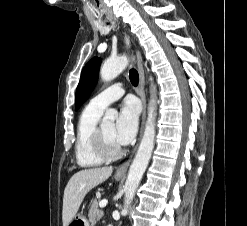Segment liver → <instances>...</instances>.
Here are the masks:
<instances>
[{"label":"liver","instance_id":"liver-1","mask_svg":"<svg viewBox=\"0 0 247 226\" xmlns=\"http://www.w3.org/2000/svg\"><path fill=\"white\" fill-rule=\"evenodd\" d=\"M113 168L99 167L80 170L69 180L63 197L62 221L63 226L76 216L85 195L95 186L107 180L112 174Z\"/></svg>","mask_w":247,"mask_h":226}]
</instances>
